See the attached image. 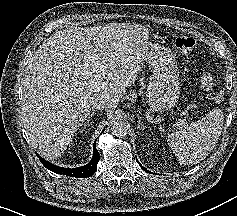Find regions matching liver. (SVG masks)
<instances>
[{"label":"liver","mask_w":237,"mask_h":216,"mask_svg":"<svg viewBox=\"0 0 237 216\" xmlns=\"http://www.w3.org/2000/svg\"><path fill=\"white\" fill-rule=\"evenodd\" d=\"M110 31L104 25L55 32L25 71L23 123L41 152L55 154L65 148L90 115L93 101L106 99L117 105L135 82L140 69L122 62L118 42L106 36Z\"/></svg>","instance_id":"1"}]
</instances>
